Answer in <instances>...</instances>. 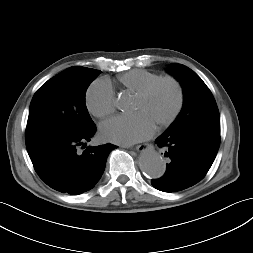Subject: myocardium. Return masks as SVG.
Listing matches in <instances>:
<instances>
[{
  "label": "myocardium",
  "instance_id": "1",
  "mask_svg": "<svg viewBox=\"0 0 253 253\" xmlns=\"http://www.w3.org/2000/svg\"><path fill=\"white\" fill-rule=\"evenodd\" d=\"M163 83H169L174 87L176 91V104L171 114L166 119L157 123L159 127H167L171 125L181 113L184 105V88L182 83L173 76H162L148 83L136 94L139 98H147L159 85Z\"/></svg>",
  "mask_w": 253,
  "mask_h": 253
}]
</instances>
